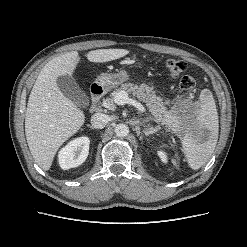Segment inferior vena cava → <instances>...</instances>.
Returning a JSON list of instances; mask_svg holds the SVG:
<instances>
[{
  "label": "inferior vena cava",
  "mask_w": 247,
  "mask_h": 247,
  "mask_svg": "<svg viewBox=\"0 0 247 247\" xmlns=\"http://www.w3.org/2000/svg\"><path fill=\"white\" fill-rule=\"evenodd\" d=\"M109 122V117L103 113H95L91 117V125L96 129H102Z\"/></svg>",
  "instance_id": "inferior-vena-cava-1"
}]
</instances>
